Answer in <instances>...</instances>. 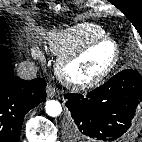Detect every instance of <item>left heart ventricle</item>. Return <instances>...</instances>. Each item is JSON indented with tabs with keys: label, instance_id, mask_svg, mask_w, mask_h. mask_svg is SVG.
<instances>
[{
	"label": "left heart ventricle",
	"instance_id": "b2bd125f",
	"mask_svg": "<svg viewBox=\"0 0 142 142\" xmlns=\"http://www.w3.org/2000/svg\"><path fill=\"white\" fill-rule=\"evenodd\" d=\"M112 57V47L109 44H103L81 61L70 68L71 74L78 79H88L100 72L110 61Z\"/></svg>",
	"mask_w": 142,
	"mask_h": 142
}]
</instances>
